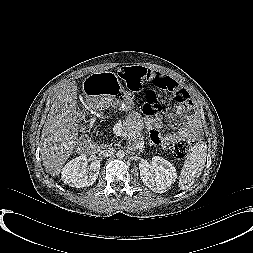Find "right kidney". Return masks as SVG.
I'll return each instance as SVG.
<instances>
[{
  "instance_id": "1",
  "label": "right kidney",
  "mask_w": 253,
  "mask_h": 253,
  "mask_svg": "<svg viewBox=\"0 0 253 253\" xmlns=\"http://www.w3.org/2000/svg\"><path fill=\"white\" fill-rule=\"evenodd\" d=\"M100 161H92L88 166L87 157L81 155L69 161L61 172L65 184L71 187L82 188L92 185L98 177Z\"/></svg>"
}]
</instances>
